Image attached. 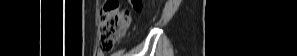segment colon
<instances>
[{
    "label": "colon",
    "instance_id": "1",
    "mask_svg": "<svg viewBox=\"0 0 297 56\" xmlns=\"http://www.w3.org/2000/svg\"><path fill=\"white\" fill-rule=\"evenodd\" d=\"M137 11L143 8L141 0H132ZM131 23L129 10H122L119 2L115 0L106 1L100 10L99 18V51L104 54L111 52L116 41L125 33Z\"/></svg>",
    "mask_w": 297,
    "mask_h": 56
}]
</instances>
